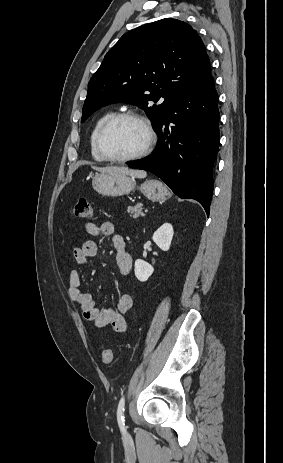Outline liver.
Instances as JSON below:
<instances>
[{
  "label": "liver",
  "instance_id": "obj_1",
  "mask_svg": "<svg viewBox=\"0 0 283 463\" xmlns=\"http://www.w3.org/2000/svg\"><path fill=\"white\" fill-rule=\"evenodd\" d=\"M93 169L99 172H108V173H120L124 175L131 176L133 178H145L147 173L143 170H133L127 167H118V166H109V167H93Z\"/></svg>",
  "mask_w": 283,
  "mask_h": 463
}]
</instances>
